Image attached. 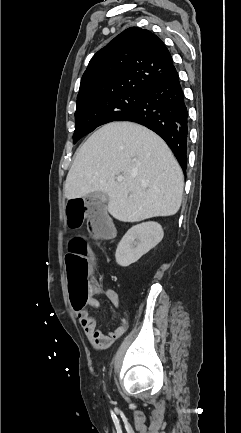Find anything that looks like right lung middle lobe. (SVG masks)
Returning <instances> with one entry per match:
<instances>
[{"label":"right lung middle lobe","instance_id":"dd1d6c3e","mask_svg":"<svg viewBox=\"0 0 241 433\" xmlns=\"http://www.w3.org/2000/svg\"><path fill=\"white\" fill-rule=\"evenodd\" d=\"M143 92L126 91L77 104L73 142L92 132L98 126L119 121L142 102Z\"/></svg>","mask_w":241,"mask_h":433}]
</instances>
